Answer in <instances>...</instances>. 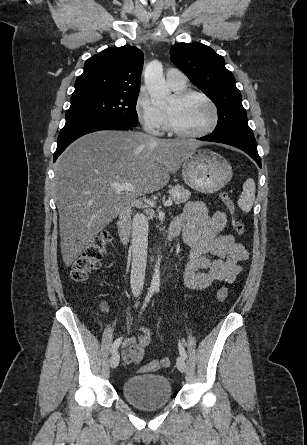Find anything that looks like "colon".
<instances>
[{"label":"colon","mask_w":307,"mask_h":445,"mask_svg":"<svg viewBox=\"0 0 307 445\" xmlns=\"http://www.w3.org/2000/svg\"><path fill=\"white\" fill-rule=\"evenodd\" d=\"M222 202L225 204L232 216L235 215L236 207L234 201L227 192H223L220 195ZM232 226L234 231L238 235H242L245 232V224L237 219L233 218ZM111 241V235L105 231L99 234L94 240L84 249V251L76 258L72 265L71 276L77 282H85L89 275L95 271L104 257L107 251V247ZM227 297V289L221 287L217 291V300L219 302L225 301ZM171 366V360L168 357H164L155 360L145 366H142L139 370L141 372H152L162 368H169Z\"/></svg>","instance_id":"5ec220e1"}]
</instances>
